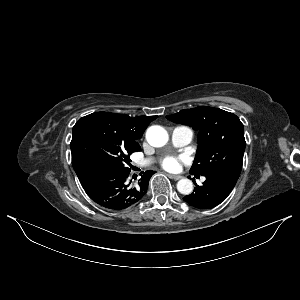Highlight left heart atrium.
<instances>
[{
    "label": "left heart atrium",
    "instance_id": "obj_1",
    "mask_svg": "<svg viewBox=\"0 0 300 300\" xmlns=\"http://www.w3.org/2000/svg\"><path fill=\"white\" fill-rule=\"evenodd\" d=\"M186 158L177 156H166L161 160V166L168 171H176L180 168L181 163L185 162Z\"/></svg>",
    "mask_w": 300,
    "mask_h": 300
}]
</instances>
